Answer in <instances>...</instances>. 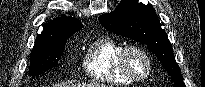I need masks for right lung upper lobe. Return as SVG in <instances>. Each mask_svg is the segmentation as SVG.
I'll list each match as a JSON object with an SVG mask.
<instances>
[{
    "label": "right lung upper lobe",
    "mask_w": 205,
    "mask_h": 87,
    "mask_svg": "<svg viewBox=\"0 0 205 87\" xmlns=\"http://www.w3.org/2000/svg\"><path fill=\"white\" fill-rule=\"evenodd\" d=\"M44 29L36 38V42L59 40L70 37L82 28L81 22L76 18L62 16L51 23L43 25Z\"/></svg>",
    "instance_id": "obj_1"
}]
</instances>
